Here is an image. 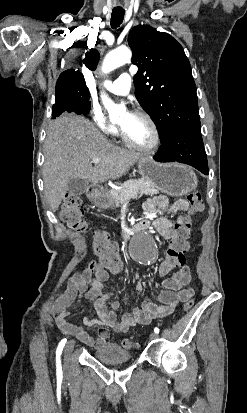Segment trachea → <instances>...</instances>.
<instances>
[{
  "mask_svg": "<svg viewBox=\"0 0 247 413\" xmlns=\"http://www.w3.org/2000/svg\"><path fill=\"white\" fill-rule=\"evenodd\" d=\"M124 11H115L111 14V26L112 28H117L120 26L124 19Z\"/></svg>",
  "mask_w": 247,
  "mask_h": 413,
  "instance_id": "trachea-1",
  "label": "trachea"
}]
</instances>
